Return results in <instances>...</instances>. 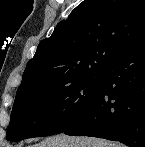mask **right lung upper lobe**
Here are the masks:
<instances>
[{
    "label": "right lung upper lobe",
    "instance_id": "cb5924a9",
    "mask_svg": "<svg viewBox=\"0 0 145 147\" xmlns=\"http://www.w3.org/2000/svg\"><path fill=\"white\" fill-rule=\"evenodd\" d=\"M144 35V0H84L39 43L16 94L55 90L101 73Z\"/></svg>",
    "mask_w": 145,
    "mask_h": 147
}]
</instances>
